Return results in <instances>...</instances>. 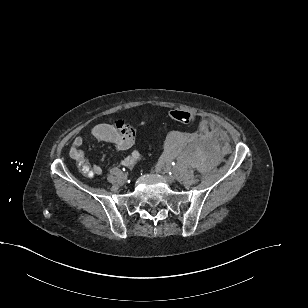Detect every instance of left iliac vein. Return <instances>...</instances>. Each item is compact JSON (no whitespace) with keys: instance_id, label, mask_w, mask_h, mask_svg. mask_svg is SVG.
Here are the masks:
<instances>
[{"instance_id":"4c4485c4","label":"left iliac vein","mask_w":308,"mask_h":308,"mask_svg":"<svg viewBox=\"0 0 308 308\" xmlns=\"http://www.w3.org/2000/svg\"><path fill=\"white\" fill-rule=\"evenodd\" d=\"M157 171H158V172H161V173H163V174H165V178H166V180H167L169 183H174V182H175V177L168 174V171H169L168 168H165V167H158V168H157Z\"/></svg>"}]
</instances>
